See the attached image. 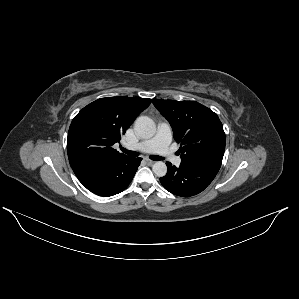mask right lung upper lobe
Returning <instances> with one entry per match:
<instances>
[{"label":"right lung upper lobe","mask_w":299,"mask_h":299,"mask_svg":"<svg viewBox=\"0 0 299 299\" xmlns=\"http://www.w3.org/2000/svg\"><path fill=\"white\" fill-rule=\"evenodd\" d=\"M150 103L151 99L121 96L101 98L84 107L68 132L67 152L73 171L127 157L112 146Z\"/></svg>","instance_id":"obj_1"}]
</instances>
